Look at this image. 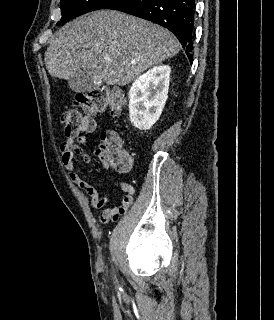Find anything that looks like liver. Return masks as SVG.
I'll use <instances>...</instances> for the list:
<instances>
[{"label": "liver", "instance_id": "6515ba94", "mask_svg": "<svg viewBox=\"0 0 274 320\" xmlns=\"http://www.w3.org/2000/svg\"><path fill=\"white\" fill-rule=\"evenodd\" d=\"M179 50L177 38L157 24L116 10H98L55 32L44 60L52 78L71 82L78 74L94 70L96 80L126 86Z\"/></svg>", "mask_w": 274, "mask_h": 320}]
</instances>
